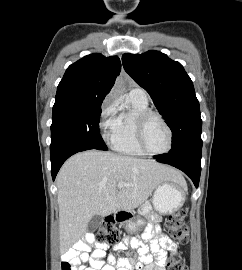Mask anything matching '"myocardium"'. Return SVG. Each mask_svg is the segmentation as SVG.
<instances>
[{
	"label": "myocardium",
	"mask_w": 242,
	"mask_h": 270,
	"mask_svg": "<svg viewBox=\"0 0 242 270\" xmlns=\"http://www.w3.org/2000/svg\"><path fill=\"white\" fill-rule=\"evenodd\" d=\"M152 119L159 120L164 125V127L166 128L167 133H168V146L162 152L151 151L147 147L146 142H145V131H146L148 123ZM136 140H137L138 146L145 154L150 155V156H161V155H165V154L169 153L172 149L173 131H172L170 125L167 123V121L163 118L162 115H160L157 112L149 110L147 112L140 114L137 118V121H136Z\"/></svg>",
	"instance_id": "1"
}]
</instances>
